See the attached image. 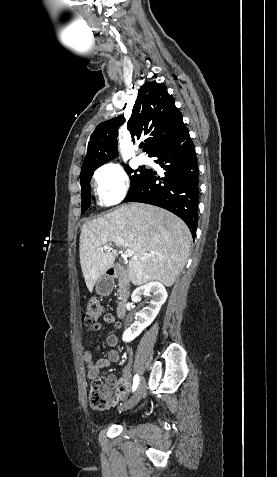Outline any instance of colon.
Wrapping results in <instances>:
<instances>
[{
    "label": "colon",
    "mask_w": 277,
    "mask_h": 477,
    "mask_svg": "<svg viewBox=\"0 0 277 477\" xmlns=\"http://www.w3.org/2000/svg\"><path fill=\"white\" fill-rule=\"evenodd\" d=\"M103 316V308L97 299H91L82 312V321L88 329H92ZM127 386L123 383L117 385L106 384L95 380L91 384L89 404L95 411H104L114 406L126 393Z\"/></svg>",
    "instance_id": "obj_1"
}]
</instances>
